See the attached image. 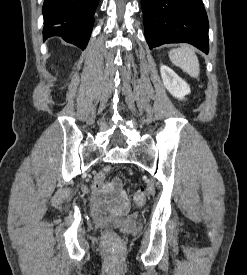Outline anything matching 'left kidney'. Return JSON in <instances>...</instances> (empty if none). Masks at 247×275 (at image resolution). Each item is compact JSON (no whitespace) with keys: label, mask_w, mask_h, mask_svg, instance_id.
<instances>
[{"label":"left kidney","mask_w":247,"mask_h":275,"mask_svg":"<svg viewBox=\"0 0 247 275\" xmlns=\"http://www.w3.org/2000/svg\"><path fill=\"white\" fill-rule=\"evenodd\" d=\"M163 84L171 95L178 99H184L190 93L189 85L180 78L170 67L162 65L160 68Z\"/></svg>","instance_id":"1"}]
</instances>
